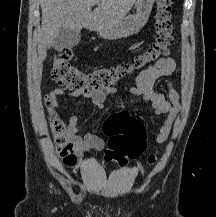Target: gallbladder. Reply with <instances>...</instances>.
Instances as JSON below:
<instances>
[{
  "instance_id": "obj_1",
  "label": "gallbladder",
  "mask_w": 216,
  "mask_h": 217,
  "mask_svg": "<svg viewBox=\"0 0 216 217\" xmlns=\"http://www.w3.org/2000/svg\"><path fill=\"white\" fill-rule=\"evenodd\" d=\"M81 39L79 30L62 28L55 38L53 47L59 51L66 48L75 47Z\"/></svg>"
}]
</instances>
